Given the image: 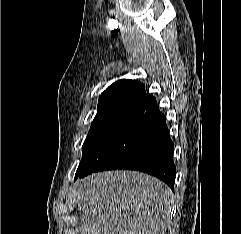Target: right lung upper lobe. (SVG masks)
Masks as SVG:
<instances>
[{"mask_svg":"<svg viewBox=\"0 0 241 234\" xmlns=\"http://www.w3.org/2000/svg\"><path fill=\"white\" fill-rule=\"evenodd\" d=\"M151 95L144 92V84L127 79L118 80L100 96L99 105L132 104L140 105Z\"/></svg>","mask_w":241,"mask_h":234,"instance_id":"right-lung-upper-lobe-1","label":"right lung upper lobe"}]
</instances>
